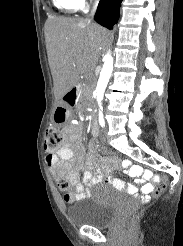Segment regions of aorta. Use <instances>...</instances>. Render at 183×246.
Segmentation results:
<instances>
[{"label":"aorta","instance_id":"aorta-1","mask_svg":"<svg viewBox=\"0 0 183 246\" xmlns=\"http://www.w3.org/2000/svg\"><path fill=\"white\" fill-rule=\"evenodd\" d=\"M113 62H114L113 56L111 52L108 51L104 56V64L96 86L97 103L100 109H102L104 92L113 71Z\"/></svg>","mask_w":183,"mask_h":246}]
</instances>
